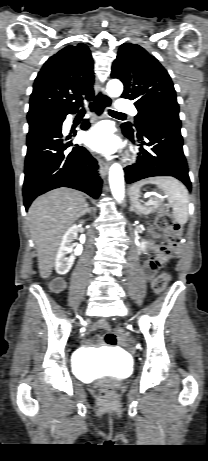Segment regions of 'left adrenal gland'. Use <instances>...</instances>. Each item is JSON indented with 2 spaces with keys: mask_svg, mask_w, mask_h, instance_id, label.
<instances>
[{
  "mask_svg": "<svg viewBox=\"0 0 208 461\" xmlns=\"http://www.w3.org/2000/svg\"><path fill=\"white\" fill-rule=\"evenodd\" d=\"M130 211H131V212L135 211V212L138 214V212L134 209L133 204H131V206H130Z\"/></svg>",
  "mask_w": 208,
  "mask_h": 461,
  "instance_id": "obj_1",
  "label": "left adrenal gland"
}]
</instances>
